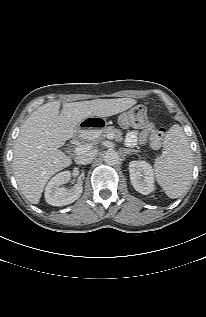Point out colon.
I'll return each instance as SVG.
<instances>
[{
	"mask_svg": "<svg viewBox=\"0 0 206 317\" xmlns=\"http://www.w3.org/2000/svg\"><path fill=\"white\" fill-rule=\"evenodd\" d=\"M119 124L125 128H142L148 124L147 110L143 105H137L122 113L118 118ZM165 135V129L154 130L151 134L153 146H160Z\"/></svg>",
	"mask_w": 206,
	"mask_h": 317,
	"instance_id": "obj_1",
	"label": "colon"
}]
</instances>
